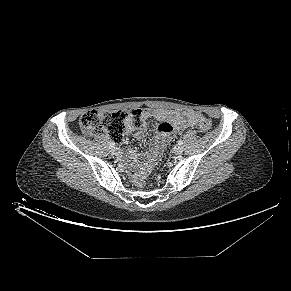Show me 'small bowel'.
Instances as JSON below:
<instances>
[{"instance_id": "1", "label": "small bowel", "mask_w": 291, "mask_h": 291, "mask_svg": "<svg viewBox=\"0 0 291 291\" xmlns=\"http://www.w3.org/2000/svg\"><path fill=\"white\" fill-rule=\"evenodd\" d=\"M144 117L147 120L157 122V138L152 140L149 151L144 154L136 155L133 151L128 152V156L134 162L144 163L142 171L152 168L153 163L160 157L161 151L171 140L174 132L194 126L199 120V117L193 113L167 109H146ZM136 136L141 137L142 130H138Z\"/></svg>"}]
</instances>
